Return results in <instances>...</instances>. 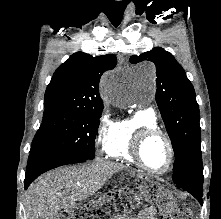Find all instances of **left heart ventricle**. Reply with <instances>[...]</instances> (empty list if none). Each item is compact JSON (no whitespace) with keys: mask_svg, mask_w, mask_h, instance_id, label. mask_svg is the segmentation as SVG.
<instances>
[{"mask_svg":"<svg viewBox=\"0 0 221 219\" xmlns=\"http://www.w3.org/2000/svg\"><path fill=\"white\" fill-rule=\"evenodd\" d=\"M142 156L150 168L158 171L166 169L169 161L166 142L160 136L152 137L144 144Z\"/></svg>","mask_w":221,"mask_h":219,"instance_id":"left-heart-ventricle-1","label":"left heart ventricle"}]
</instances>
